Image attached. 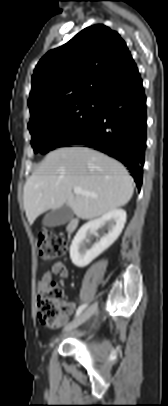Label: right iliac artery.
Instances as JSON below:
<instances>
[{
  "label": "right iliac artery",
  "mask_w": 168,
  "mask_h": 406,
  "mask_svg": "<svg viewBox=\"0 0 168 406\" xmlns=\"http://www.w3.org/2000/svg\"><path fill=\"white\" fill-rule=\"evenodd\" d=\"M86 307H87L86 304H83V305L79 306L77 311H76L75 318H77Z\"/></svg>",
  "instance_id": "82829eb1"
}]
</instances>
